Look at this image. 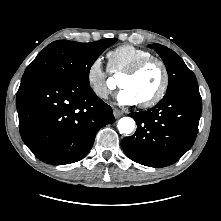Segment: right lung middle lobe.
I'll list each match as a JSON object with an SVG mask.
<instances>
[{
    "mask_svg": "<svg viewBox=\"0 0 221 221\" xmlns=\"http://www.w3.org/2000/svg\"><path fill=\"white\" fill-rule=\"evenodd\" d=\"M113 39L91 43L58 40L46 46L26 68L25 74H53L89 84V71L95 60L112 44Z\"/></svg>",
    "mask_w": 221,
    "mask_h": 221,
    "instance_id": "1",
    "label": "right lung middle lobe"
}]
</instances>
